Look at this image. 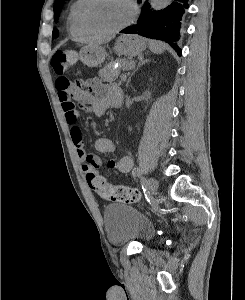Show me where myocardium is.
<instances>
[{"instance_id": "f54148a6", "label": "myocardium", "mask_w": 245, "mask_h": 300, "mask_svg": "<svg viewBox=\"0 0 245 300\" xmlns=\"http://www.w3.org/2000/svg\"><path fill=\"white\" fill-rule=\"evenodd\" d=\"M92 2H93V0H84V3L82 4V6L79 10V14H78V19H79L80 25L87 33L92 34V35L109 36V35L116 34L120 31L124 30L128 26H130L135 21L137 15H138V8H137V5L134 2V0H127L129 6L131 8V15L125 23H123L122 25H120L116 28L110 29V30L94 29L88 24L87 19H86L87 9Z\"/></svg>"}]
</instances>
